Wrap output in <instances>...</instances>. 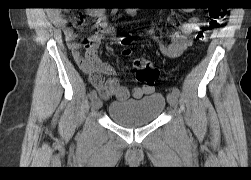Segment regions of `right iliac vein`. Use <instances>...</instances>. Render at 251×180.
I'll return each instance as SVG.
<instances>
[{
    "label": "right iliac vein",
    "mask_w": 251,
    "mask_h": 180,
    "mask_svg": "<svg viewBox=\"0 0 251 180\" xmlns=\"http://www.w3.org/2000/svg\"><path fill=\"white\" fill-rule=\"evenodd\" d=\"M101 106H102V101L100 100L99 97H95L94 99H92L91 107L93 110H98L99 108H101Z\"/></svg>",
    "instance_id": "obj_1"
}]
</instances>
